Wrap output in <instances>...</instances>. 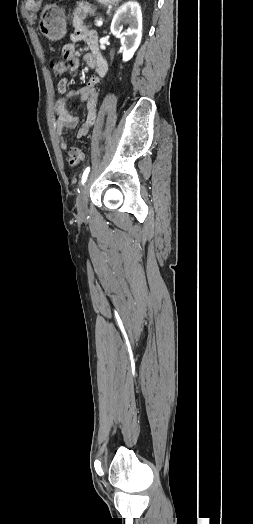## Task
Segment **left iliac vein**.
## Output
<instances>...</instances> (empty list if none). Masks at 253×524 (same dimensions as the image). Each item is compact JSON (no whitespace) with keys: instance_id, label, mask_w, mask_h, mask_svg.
Returning a JSON list of instances; mask_svg holds the SVG:
<instances>
[{"instance_id":"left-iliac-vein-1","label":"left iliac vein","mask_w":253,"mask_h":524,"mask_svg":"<svg viewBox=\"0 0 253 524\" xmlns=\"http://www.w3.org/2000/svg\"><path fill=\"white\" fill-rule=\"evenodd\" d=\"M88 190H89V183L88 181H86L83 184V186L81 187V190L76 199V206H77V211L79 215H86L88 212V200H87Z\"/></svg>"}]
</instances>
